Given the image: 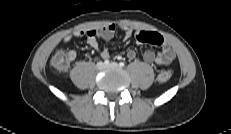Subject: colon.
Instances as JSON below:
<instances>
[{
	"instance_id": "colon-1",
	"label": "colon",
	"mask_w": 231,
	"mask_h": 134,
	"mask_svg": "<svg viewBox=\"0 0 231 134\" xmlns=\"http://www.w3.org/2000/svg\"><path fill=\"white\" fill-rule=\"evenodd\" d=\"M70 57L67 52L57 51L50 60V65L56 71L62 72L65 71L70 65ZM173 75L171 69H164L160 71L157 75V79L161 83L168 82Z\"/></svg>"
}]
</instances>
